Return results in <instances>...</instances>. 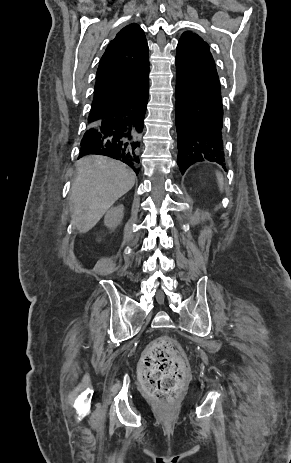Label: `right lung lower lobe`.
Instances as JSON below:
<instances>
[{
	"label": "right lung lower lobe",
	"mask_w": 291,
	"mask_h": 463,
	"mask_svg": "<svg viewBox=\"0 0 291 463\" xmlns=\"http://www.w3.org/2000/svg\"><path fill=\"white\" fill-rule=\"evenodd\" d=\"M149 82L99 121L89 124L81 140L79 157L105 155L139 172L140 137L148 102Z\"/></svg>",
	"instance_id": "1"
}]
</instances>
